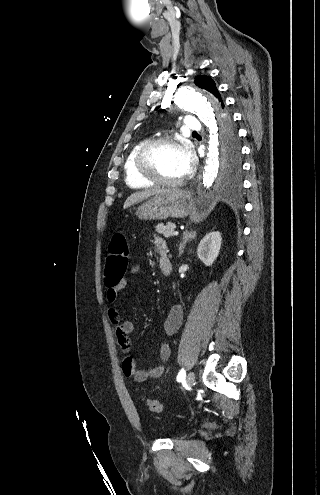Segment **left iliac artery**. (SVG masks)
Here are the masks:
<instances>
[{
    "label": "left iliac artery",
    "mask_w": 320,
    "mask_h": 495,
    "mask_svg": "<svg viewBox=\"0 0 320 495\" xmlns=\"http://www.w3.org/2000/svg\"><path fill=\"white\" fill-rule=\"evenodd\" d=\"M185 379V370L184 369H181L180 372L178 373V376H177V381H181Z\"/></svg>",
    "instance_id": "obj_1"
}]
</instances>
